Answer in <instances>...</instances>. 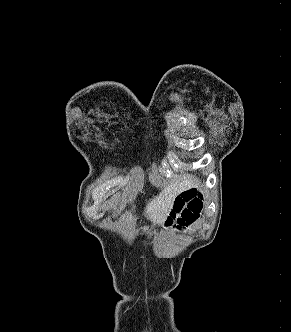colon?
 <instances>
[{
  "label": "colon",
  "mask_w": 291,
  "mask_h": 332,
  "mask_svg": "<svg viewBox=\"0 0 291 332\" xmlns=\"http://www.w3.org/2000/svg\"><path fill=\"white\" fill-rule=\"evenodd\" d=\"M203 206L201 193L189 194L182 192L174 203V208L166 224L174 228H181L196 220Z\"/></svg>",
  "instance_id": "5ec220e1"
}]
</instances>
